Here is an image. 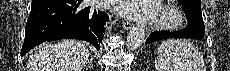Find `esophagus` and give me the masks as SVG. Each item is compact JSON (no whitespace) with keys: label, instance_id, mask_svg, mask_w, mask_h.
I'll list each match as a JSON object with an SVG mask.
<instances>
[{"label":"esophagus","instance_id":"1","mask_svg":"<svg viewBox=\"0 0 230 71\" xmlns=\"http://www.w3.org/2000/svg\"><path fill=\"white\" fill-rule=\"evenodd\" d=\"M122 26H123V28H124L125 30H129V29L132 27V23L129 22V21H127V20H124V21L122 22Z\"/></svg>","mask_w":230,"mask_h":71}]
</instances>
